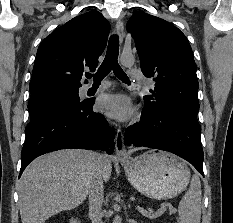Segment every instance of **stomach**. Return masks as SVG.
Instances as JSON below:
<instances>
[{
    "label": "stomach",
    "instance_id": "0dacf381",
    "mask_svg": "<svg viewBox=\"0 0 233 223\" xmlns=\"http://www.w3.org/2000/svg\"><path fill=\"white\" fill-rule=\"evenodd\" d=\"M131 185L152 199H171L182 193L190 181L186 161L167 151H145L122 159Z\"/></svg>",
    "mask_w": 233,
    "mask_h": 223
}]
</instances>
